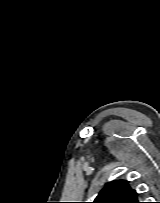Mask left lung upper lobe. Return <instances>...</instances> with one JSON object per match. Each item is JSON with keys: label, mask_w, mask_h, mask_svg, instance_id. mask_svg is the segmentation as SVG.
<instances>
[{"label": "left lung upper lobe", "mask_w": 160, "mask_h": 203, "mask_svg": "<svg viewBox=\"0 0 160 203\" xmlns=\"http://www.w3.org/2000/svg\"><path fill=\"white\" fill-rule=\"evenodd\" d=\"M93 203H140L138 194L128 182L112 181L100 191Z\"/></svg>", "instance_id": "left-lung-upper-lobe-1"}]
</instances>
